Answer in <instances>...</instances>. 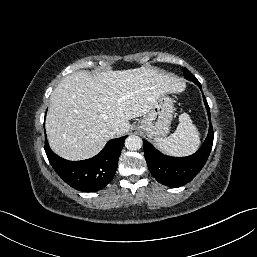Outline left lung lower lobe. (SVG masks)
Segmentation results:
<instances>
[{"mask_svg":"<svg viewBox=\"0 0 257 257\" xmlns=\"http://www.w3.org/2000/svg\"><path fill=\"white\" fill-rule=\"evenodd\" d=\"M195 84L201 88L199 81ZM204 103L209 117V133L200 149L191 156L171 157L156 150L143 139L144 154L151 174L155 179L169 187H180L190 182L203 168L212 149L214 132L210 119V108L203 94Z\"/></svg>","mask_w":257,"mask_h":257,"instance_id":"obj_1","label":"left lung lower lobe"}]
</instances>
